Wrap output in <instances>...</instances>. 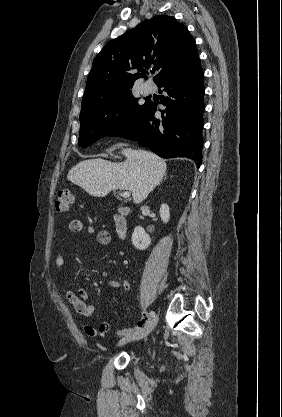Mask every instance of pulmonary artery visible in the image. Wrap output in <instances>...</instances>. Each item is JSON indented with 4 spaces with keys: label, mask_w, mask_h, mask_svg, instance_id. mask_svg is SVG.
<instances>
[{
    "label": "pulmonary artery",
    "mask_w": 282,
    "mask_h": 417,
    "mask_svg": "<svg viewBox=\"0 0 282 417\" xmlns=\"http://www.w3.org/2000/svg\"><path fill=\"white\" fill-rule=\"evenodd\" d=\"M142 92H143L144 94H149V93L151 92V89H150V88H143V89H142Z\"/></svg>",
    "instance_id": "e3ab8cb5"
}]
</instances>
